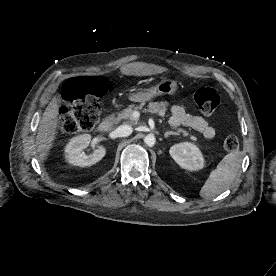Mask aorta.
Here are the masks:
<instances>
[{"label":"aorta","instance_id":"1","mask_svg":"<svg viewBox=\"0 0 276 276\" xmlns=\"http://www.w3.org/2000/svg\"><path fill=\"white\" fill-rule=\"evenodd\" d=\"M144 143L149 147L154 146L155 143H156L155 136L152 135V134L146 135L145 138H144Z\"/></svg>","mask_w":276,"mask_h":276}]
</instances>
